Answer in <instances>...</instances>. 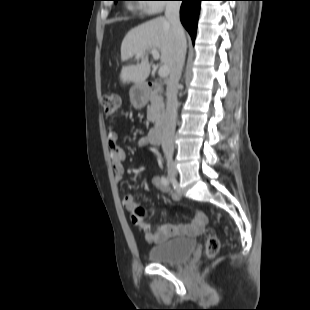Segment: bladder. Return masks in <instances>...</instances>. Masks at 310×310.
<instances>
[{"mask_svg":"<svg viewBox=\"0 0 310 310\" xmlns=\"http://www.w3.org/2000/svg\"><path fill=\"white\" fill-rule=\"evenodd\" d=\"M196 250V241L191 238H173L148 250V259L152 263L178 265L191 258Z\"/></svg>","mask_w":310,"mask_h":310,"instance_id":"obj_1","label":"bladder"}]
</instances>
